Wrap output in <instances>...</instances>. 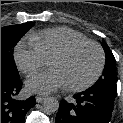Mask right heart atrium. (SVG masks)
<instances>
[{"instance_id": "right-heart-atrium-1", "label": "right heart atrium", "mask_w": 123, "mask_h": 123, "mask_svg": "<svg viewBox=\"0 0 123 123\" xmlns=\"http://www.w3.org/2000/svg\"><path fill=\"white\" fill-rule=\"evenodd\" d=\"M14 60L23 74L30 75L44 65L46 58L33 42L26 39L15 47Z\"/></svg>"}]
</instances>
